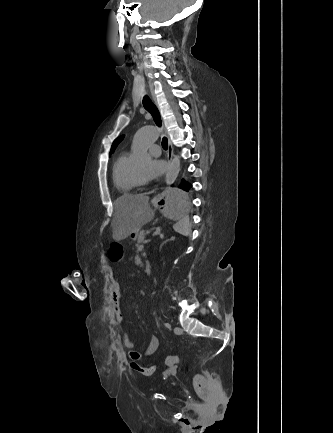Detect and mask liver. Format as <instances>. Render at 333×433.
Returning <instances> with one entry per match:
<instances>
[{
    "label": "liver",
    "instance_id": "6515ba94",
    "mask_svg": "<svg viewBox=\"0 0 333 433\" xmlns=\"http://www.w3.org/2000/svg\"><path fill=\"white\" fill-rule=\"evenodd\" d=\"M114 206L112 238L115 241H121L131 233H138L155 216L145 194H124L115 200Z\"/></svg>",
    "mask_w": 333,
    "mask_h": 433
}]
</instances>
